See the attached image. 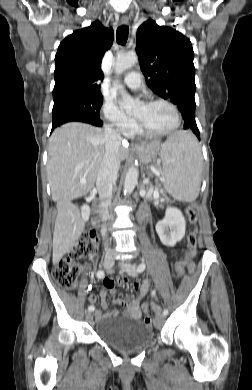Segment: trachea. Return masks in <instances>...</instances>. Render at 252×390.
I'll return each mask as SVG.
<instances>
[{"label":"trachea","mask_w":252,"mask_h":390,"mask_svg":"<svg viewBox=\"0 0 252 390\" xmlns=\"http://www.w3.org/2000/svg\"><path fill=\"white\" fill-rule=\"evenodd\" d=\"M129 28L126 25H122L117 29L116 41L120 45H124L128 39Z\"/></svg>","instance_id":"1"}]
</instances>
